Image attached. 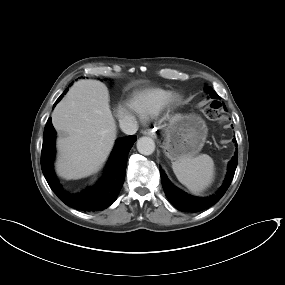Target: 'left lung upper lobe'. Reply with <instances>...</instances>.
Wrapping results in <instances>:
<instances>
[{
    "label": "left lung upper lobe",
    "mask_w": 285,
    "mask_h": 285,
    "mask_svg": "<svg viewBox=\"0 0 285 285\" xmlns=\"http://www.w3.org/2000/svg\"><path fill=\"white\" fill-rule=\"evenodd\" d=\"M206 89L213 99L219 98L218 94L212 88L207 87Z\"/></svg>",
    "instance_id": "5c2ea615"
}]
</instances>
